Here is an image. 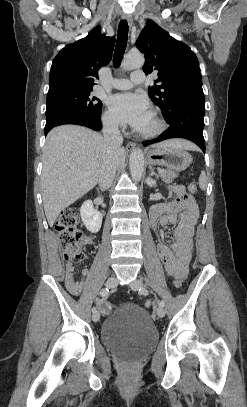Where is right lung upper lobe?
Returning <instances> with one entry per match:
<instances>
[{"mask_svg": "<svg viewBox=\"0 0 247 407\" xmlns=\"http://www.w3.org/2000/svg\"><path fill=\"white\" fill-rule=\"evenodd\" d=\"M114 37L101 34L100 26L79 41L60 50L52 62L49 91L60 88H92L98 70L109 63Z\"/></svg>", "mask_w": 247, "mask_h": 407, "instance_id": "1", "label": "right lung upper lobe"}]
</instances>
